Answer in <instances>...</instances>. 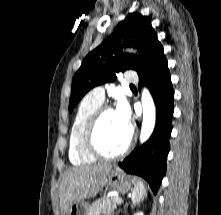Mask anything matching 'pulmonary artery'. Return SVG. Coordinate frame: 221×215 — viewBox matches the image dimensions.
Returning a JSON list of instances; mask_svg holds the SVG:
<instances>
[{
  "instance_id": "e3ab8cb5",
  "label": "pulmonary artery",
  "mask_w": 221,
  "mask_h": 215,
  "mask_svg": "<svg viewBox=\"0 0 221 215\" xmlns=\"http://www.w3.org/2000/svg\"><path fill=\"white\" fill-rule=\"evenodd\" d=\"M126 82H128V83H137L138 82V77H137V75L134 73V72H130V73H128L127 75H126ZM89 95L92 97V98H94V99H96V100H98V101H100V102H103L104 101V99H105V91H104V89L102 88V87H96V88H94L90 93H89Z\"/></svg>"
}]
</instances>
